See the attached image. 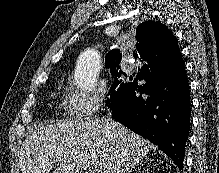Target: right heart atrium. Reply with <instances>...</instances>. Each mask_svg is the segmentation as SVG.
<instances>
[{"label":"right heart atrium","instance_id":"d8ad5b80","mask_svg":"<svg viewBox=\"0 0 219 173\" xmlns=\"http://www.w3.org/2000/svg\"><path fill=\"white\" fill-rule=\"evenodd\" d=\"M106 93L87 92L75 84H71L67 92L69 111L80 118H86L97 112L105 103Z\"/></svg>","mask_w":219,"mask_h":173}]
</instances>
